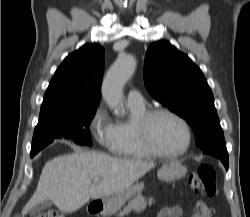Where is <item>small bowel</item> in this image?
Instances as JSON below:
<instances>
[{
	"instance_id": "obj_1",
	"label": "small bowel",
	"mask_w": 250,
	"mask_h": 217,
	"mask_svg": "<svg viewBox=\"0 0 250 217\" xmlns=\"http://www.w3.org/2000/svg\"><path fill=\"white\" fill-rule=\"evenodd\" d=\"M182 209L178 205L164 207L159 210L157 217H181ZM192 217H201L200 215H195Z\"/></svg>"
}]
</instances>
